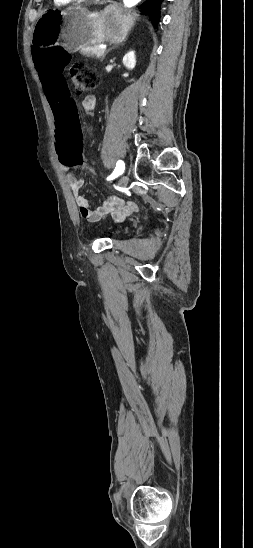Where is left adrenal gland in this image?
Instances as JSON below:
<instances>
[{
    "label": "left adrenal gland",
    "instance_id": "1",
    "mask_svg": "<svg viewBox=\"0 0 253 548\" xmlns=\"http://www.w3.org/2000/svg\"><path fill=\"white\" fill-rule=\"evenodd\" d=\"M112 49H113V48H111V49H109L108 51H106V53L103 55V58H104V57L106 56V54H107L110 50H112Z\"/></svg>",
    "mask_w": 253,
    "mask_h": 548
}]
</instances>
